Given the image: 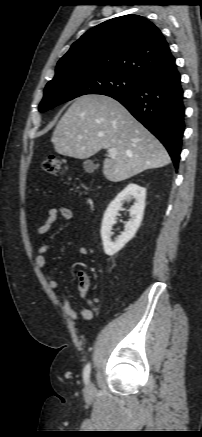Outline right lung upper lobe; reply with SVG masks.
Listing matches in <instances>:
<instances>
[{"instance_id":"obj_1","label":"right lung upper lobe","mask_w":202,"mask_h":437,"mask_svg":"<svg viewBox=\"0 0 202 437\" xmlns=\"http://www.w3.org/2000/svg\"><path fill=\"white\" fill-rule=\"evenodd\" d=\"M175 61L158 27L139 15L107 20L83 34L59 60L55 77L69 72L121 73L142 80Z\"/></svg>"}]
</instances>
